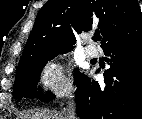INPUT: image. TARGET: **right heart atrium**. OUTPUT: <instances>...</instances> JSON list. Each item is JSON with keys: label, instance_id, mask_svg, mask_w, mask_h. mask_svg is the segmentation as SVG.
<instances>
[{"label": "right heart atrium", "instance_id": "1", "mask_svg": "<svg viewBox=\"0 0 142 119\" xmlns=\"http://www.w3.org/2000/svg\"><path fill=\"white\" fill-rule=\"evenodd\" d=\"M40 84L44 90L55 95L64 96L72 92L73 85L63 67L51 62L47 64L40 75Z\"/></svg>", "mask_w": 142, "mask_h": 119}]
</instances>
